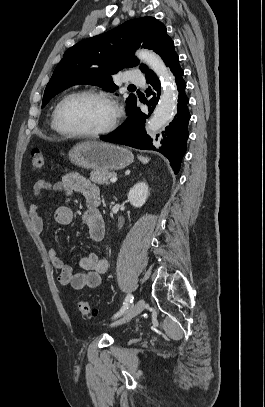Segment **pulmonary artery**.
I'll list each match as a JSON object with an SVG mask.
<instances>
[{
    "instance_id": "pulmonary-artery-1",
    "label": "pulmonary artery",
    "mask_w": 265,
    "mask_h": 407,
    "mask_svg": "<svg viewBox=\"0 0 265 407\" xmlns=\"http://www.w3.org/2000/svg\"><path fill=\"white\" fill-rule=\"evenodd\" d=\"M126 80L131 84H144L145 82L143 74L137 70L129 71L126 75Z\"/></svg>"
}]
</instances>
